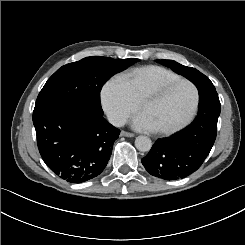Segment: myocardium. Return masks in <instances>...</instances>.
<instances>
[{
  "label": "myocardium",
  "instance_id": "obj_1",
  "mask_svg": "<svg viewBox=\"0 0 245 245\" xmlns=\"http://www.w3.org/2000/svg\"><path fill=\"white\" fill-rule=\"evenodd\" d=\"M180 84L187 85L191 90L192 102H191V106L189 108V111L184 116V118L180 122L175 124L174 126H171L168 128L154 129V131L159 133V134L171 135V134L181 130L182 128H184L186 125H188L190 123V121L192 120V118L194 117V115L196 113L198 103H199L198 90L192 82H190L187 79L180 78V79H177L174 81L166 82L164 84H159V83L151 84V85L145 87L142 90V92L140 93L139 99L137 101V108L138 109L141 106V104L147 99V97H149L152 93H154V92H166V91L171 90Z\"/></svg>",
  "mask_w": 245,
  "mask_h": 245
}]
</instances>
